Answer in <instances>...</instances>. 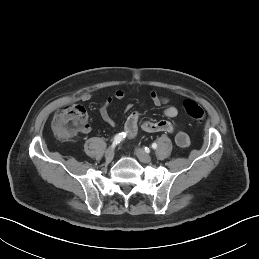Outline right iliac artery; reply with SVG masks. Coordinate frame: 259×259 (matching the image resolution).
Returning <instances> with one entry per match:
<instances>
[{"label":"right iliac artery","instance_id":"obj_1","mask_svg":"<svg viewBox=\"0 0 259 259\" xmlns=\"http://www.w3.org/2000/svg\"><path fill=\"white\" fill-rule=\"evenodd\" d=\"M125 138V133H119L113 138V144H119Z\"/></svg>","mask_w":259,"mask_h":259}]
</instances>
